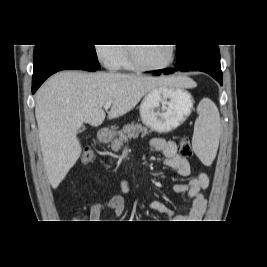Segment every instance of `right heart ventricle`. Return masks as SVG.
<instances>
[{"label": "right heart ventricle", "mask_w": 267, "mask_h": 267, "mask_svg": "<svg viewBox=\"0 0 267 267\" xmlns=\"http://www.w3.org/2000/svg\"><path fill=\"white\" fill-rule=\"evenodd\" d=\"M117 68H122L126 70H132L134 67L130 64L127 56V50L122 48L118 59H117Z\"/></svg>", "instance_id": "e07e8e85"}]
</instances>
